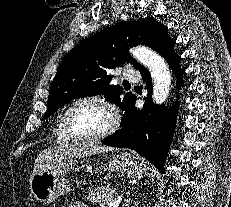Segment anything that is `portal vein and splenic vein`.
I'll use <instances>...</instances> for the list:
<instances>
[{
    "instance_id": "portal-vein-and-splenic-vein-1",
    "label": "portal vein and splenic vein",
    "mask_w": 231,
    "mask_h": 207,
    "mask_svg": "<svg viewBox=\"0 0 231 207\" xmlns=\"http://www.w3.org/2000/svg\"><path fill=\"white\" fill-rule=\"evenodd\" d=\"M121 199V197H118L117 200L111 201L109 203L104 202L101 204V207H118L121 202Z\"/></svg>"
}]
</instances>
